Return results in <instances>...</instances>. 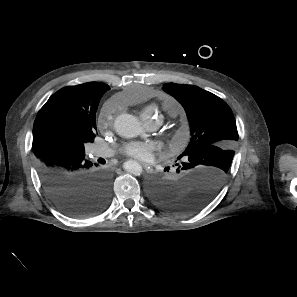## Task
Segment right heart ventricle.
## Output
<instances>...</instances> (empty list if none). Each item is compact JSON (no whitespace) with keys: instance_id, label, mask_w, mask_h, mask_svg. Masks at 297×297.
<instances>
[{"instance_id":"right-heart-ventricle-1","label":"right heart ventricle","mask_w":297,"mask_h":297,"mask_svg":"<svg viewBox=\"0 0 297 297\" xmlns=\"http://www.w3.org/2000/svg\"><path fill=\"white\" fill-rule=\"evenodd\" d=\"M160 105L162 108H164L166 111H173V105L170 101L168 100H162L160 102ZM155 108L154 107H146L143 109L141 116L144 120L150 121L153 114H154Z\"/></svg>"}]
</instances>
